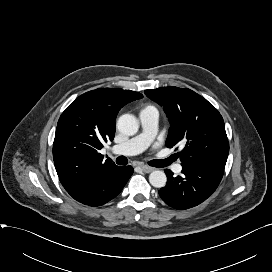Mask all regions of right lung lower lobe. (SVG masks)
<instances>
[{
  "label": "right lung lower lobe",
  "mask_w": 272,
  "mask_h": 272,
  "mask_svg": "<svg viewBox=\"0 0 272 272\" xmlns=\"http://www.w3.org/2000/svg\"><path fill=\"white\" fill-rule=\"evenodd\" d=\"M132 173V166L113 165L101 171L89 182L68 193L80 203L93 207L100 206L121 192Z\"/></svg>",
  "instance_id": "obj_1"
}]
</instances>
